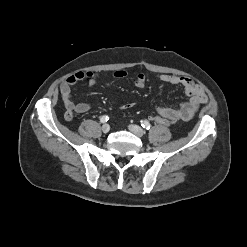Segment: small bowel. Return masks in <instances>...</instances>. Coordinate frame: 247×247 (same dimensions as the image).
Segmentation results:
<instances>
[{
    "label": "small bowel",
    "instance_id": "1",
    "mask_svg": "<svg viewBox=\"0 0 247 247\" xmlns=\"http://www.w3.org/2000/svg\"><path fill=\"white\" fill-rule=\"evenodd\" d=\"M128 76L126 70H117L113 73V77L116 79H123ZM98 75L90 71H77L74 74L65 78L60 86L59 91L62 102L65 107L64 117L67 121H71L76 114L86 113L91 109V105L88 103H74L72 101L71 88L77 82L82 80H88L89 86H93L96 83ZM159 79L167 84L177 85L183 88L185 94L188 96V100L182 103L178 108H169L164 106H157L155 108L158 115L167 117L173 121L190 120L197 112L199 107L207 102V96L204 89L197 85L191 78L186 76H177L171 74H161ZM147 77L144 74H138L134 79V85L137 88H143L146 84ZM134 106L133 103L122 105L121 109H128Z\"/></svg>",
    "mask_w": 247,
    "mask_h": 247
}]
</instances>
